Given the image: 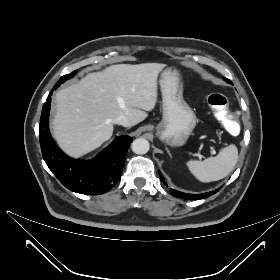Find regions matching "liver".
<instances>
[{"label":"liver","mask_w":280,"mask_h":280,"mask_svg":"<svg viewBox=\"0 0 280 280\" xmlns=\"http://www.w3.org/2000/svg\"><path fill=\"white\" fill-rule=\"evenodd\" d=\"M165 64H117L86 75L56 94L53 132L59 146L79 157L113 134V120L125 116L132 127L157 102V79Z\"/></svg>","instance_id":"6515ba94"}]
</instances>
